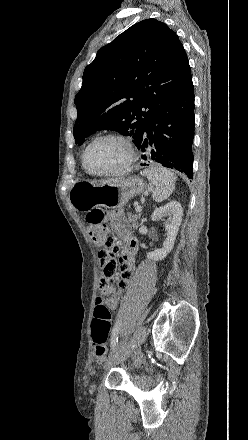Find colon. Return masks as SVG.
Segmentation results:
<instances>
[{
  "mask_svg": "<svg viewBox=\"0 0 248 440\" xmlns=\"http://www.w3.org/2000/svg\"><path fill=\"white\" fill-rule=\"evenodd\" d=\"M105 211L93 209L86 215V221L90 224V235L94 243L100 247L99 258L117 257L120 245L109 233L105 220ZM112 324V315L103 302H96L94 318L92 321V337L95 343V357L98 362L103 361L106 355L105 343L108 339Z\"/></svg>",
  "mask_w": 248,
  "mask_h": 440,
  "instance_id": "colon-1",
  "label": "colon"
}]
</instances>
